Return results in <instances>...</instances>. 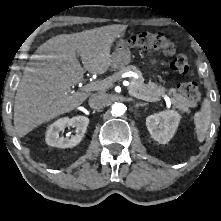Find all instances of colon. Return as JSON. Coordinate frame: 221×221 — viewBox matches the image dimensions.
Instances as JSON below:
<instances>
[{"label":"colon","instance_id":"5ec220e1","mask_svg":"<svg viewBox=\"0 0 221 221\" xmlns=\"http://www.w3.org/2000/svg\"><path fill=\"white\" fill-rule=\"evenodd\" d=\"M130 44L138 50H160L167 55H174L176 46L173 41L160 32H142L130 39ZM172 71L186 74L189 70L188 60L184 55H176L170 62ZM179 92L192 104L201 99V93L196 83L184 82L178 85Z\"/></svg>","mask_w":221,"mask_h":221}]
</instances>
